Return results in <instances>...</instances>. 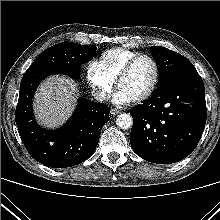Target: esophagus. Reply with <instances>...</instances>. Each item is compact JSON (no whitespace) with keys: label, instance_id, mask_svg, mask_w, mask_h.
<instances>
[{"label":"esophagus","instance_id":"obj_1","mask_svg":"<svg viewBox=\"0 0 220 220\" xmlns=\"http://www.w3.org/2000/svg\"><path fill=\"white\" fill-rule=\"evenodd\" d=\"M110 112H111V114H112L113 116H115V115H117V114L120 113V111H119L118 109H115V108H112Z\"/></svg>","mask_w":220,"mask_h":220}]
</instances>
